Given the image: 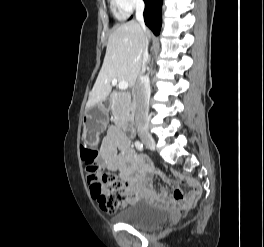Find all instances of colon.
<instances>
[{"instance_id":"5ec220e1","label":"colon","mask_w":264,"mask_h":247,"mask_svg":"<svg viewBox=\"0 0 264 247\" xmlns=\"http://www.w3.org/2000/svg\"><path fill=\"white\" fill-rule=\"evenodd\" d=\"M81 159L85 165L87 181L90 185L92 197L99 207L108 213H115L126 204L124 190L117 176L104 172L99 160V154L91 148L81 150ZM198 195L186 200L177 201L175 208L179 214H186L196 204Z\"/></svg>"}]
</instances>
